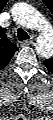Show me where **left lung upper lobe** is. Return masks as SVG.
<instances>
[{"instance_id": "left-lung-upper-lobe-1", "label": "left lung upper lobe", "mask_w": 53, "mask_h": 120, "mask_svg": "<svg viewBox=\"0 0 53 120\" xmlns=\"http://www.w3.org/2000/svg\"><path fill=\"white\" fill-rule=\"evenodd\" d=\"M44 3L48 6V3H46L45 1H44Z\"/></svg>"}]
</instances>
